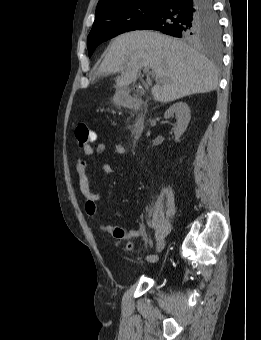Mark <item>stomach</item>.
I'll list each match as a JSON object with an SVG mask.
<instances>
[{
  "instance_id": "1",
  "label": "stomach",
  "mask_w": 261,
  "mask_h": 340,
  "mask_svg": "<svg viewBox=\"0 0 261 340\" xmlns=\"http://www.w3.org/2000/svg\"><path fill=\"white\" fill-rule=\"evenodd\" d=\"M125 98H126V93L124 90H118L114 97H113V103L115 105H123L125 102Z\"/></svg>"
}]
</instances>
